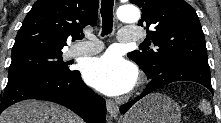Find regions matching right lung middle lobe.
<instances>
[{
  "instance_id": "1",
  "label": "right lung middle lobe",
  "mask_w": 221,
  "mask_h": 123,
  "mask_svg": "<svg viewBox=\"0 0 221 123\" xmlns=\"http://www.w3.org/2000/svg\"><path fill=\"white\" fill-rule=\"evenodd\" d=\"M11 58L8 77L32 71L59 75L72 72L68 67V63L62 61L61 51L25 50L13 52Z\"/></svg>"
}]
</instances>
